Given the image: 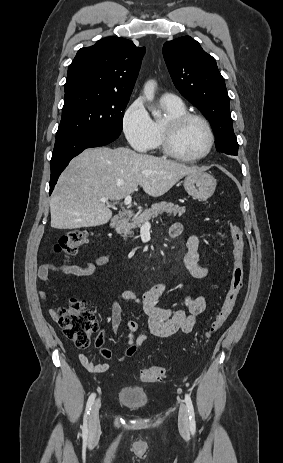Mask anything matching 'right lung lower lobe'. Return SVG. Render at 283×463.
Instances as JSON below:
<instances>
[{"label":"right lung lower lobe","mask_w":283,"mask_h":463,"mask_svg":"<svg viewBox=\"0 0 283 463\" xmlns=\"http://www.w3.org/2000/svg\"><path fill=\"white\" fill-rule=\"evenodd\" d=\"M118 135L102 132H83L71 136L56 139L51 158L50 192L52 193L57 179L61 172L68 165L70 160L80 154L84 149L90 147L104 146L115 139Z\"/></svg>","instance_id":"1"}]
</instances>
